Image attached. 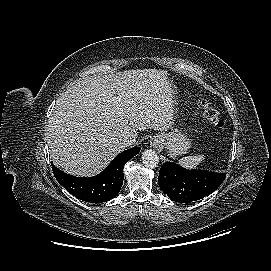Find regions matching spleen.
Segmentation results:
<instances>
[{
  "label": "spleen",
  "mask_w": 271,
  "mask_h": 271,
  "mask_svg": "<svg viewBox=\"0 0 271 271\" xmlns=\"http://www.w3.org/2000/svg\"><path fill=\"white\" fill-rule=\"evenodd\" d=\"M205 156L204 155H198V156H187L183 157L178 160V163L187 169H194L198 167L202 161H204Z\"/></svg>",
  "instance_id": "spleen-1"
}]
</instances>
